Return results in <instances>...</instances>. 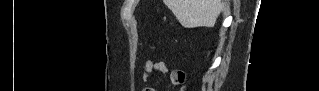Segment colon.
Here are the masks:
<instances>
[{"mask_svg":"<svg viewBox=\"0 0 319 91\" xmlns=\"http://www.w3.org/2000/svg\"><path fill=\"white\" fill-rule=\"evenodd\" d=\"M183 82H184V76L181 75V76L179 77V82H178V83H183Z\"/></svg>","mask_w":319,"mask_h":91,"instance_id":"5ec220e1","label":"colon"}]
</instances>
